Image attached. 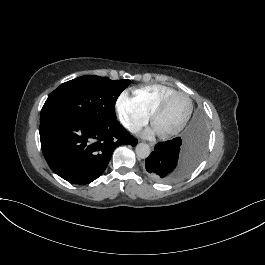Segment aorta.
<instances>
[{
    "mask_svg": "<svg viewBox=\"0 0 265 265\" xmlns=\"http://www.w3.org/2000/svg\"><path fill=\"white\" fill-rule=\"evenodd\" d=\"M135 152L138 158L145 159L150 155V147L148 144L140 143L136 146Z\"/></svg>",
    "mask_w": 265,
    "mask_h": 265,
    "instance_id": "aorta-1",
    "label": "aorta"
}]
</instances>
